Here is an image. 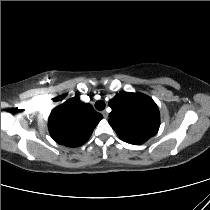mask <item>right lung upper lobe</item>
I'll return each mask as SVG.
<instances>
[{
	"instance_id": "right-lung-upper-lobe-1",
	"label": "right lung upper lobe",
	"mask_w": 210,
	"mask_h": 210,
	"mask_svg": "<svg viewBox=\"0 0 210 210\" xmlns=\"http://www.w3.org/2000/svg\"><path fill=\"white\" fill-rule=\"evenodd\" d=\"M103 116L91 104L79 97L67 100L50 114L48 128L51 137L61 145L78 147L91 136Z\"/></svg>"
}]
</instances>
